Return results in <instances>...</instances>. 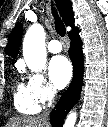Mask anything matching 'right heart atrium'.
I'll list each match as a JSON object with an SVG mask.
<instances>
[{
	"label": "right heart atrium",
	"instance_id": "1",
	"mask_svg": "<svg viewBox=\"0 0 108 127\" xmlns=\"http://www.w3.org/2000/svg\"><path fill=\"white\" fill-rule=\"evenodd\" d=\"M27 86L34 100L39 105L48 103L56 95L54 87L46 80L42 73L27 74Z\"/></svg>",
	"mask_w": 108,
	"mask_h": 127
}]
</instances>
